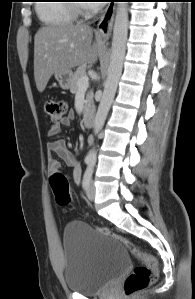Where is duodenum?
Wrapping results in <instances>:
<instances>
[{"label": "duodenum", "mask_w": 195, "mask_h": 299, "mask_svg": "<svg viewBox=\"0 0 195 299\" xmlns=\"http://www.w3.org/2000/svg\"><path fill=\"white\" fill-rule=\"evenodd\" d=\"M95 110L93 106L86 107L82 112V120L86 127H91L94 124Z\"/></svg>", "instance_id": "obj_1"}]
</instances>
